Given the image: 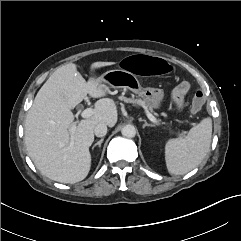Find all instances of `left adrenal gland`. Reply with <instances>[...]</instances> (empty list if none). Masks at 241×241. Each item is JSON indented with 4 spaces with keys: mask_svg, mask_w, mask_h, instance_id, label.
I'll return each instance as SVG.
<instances>
[{
    "mask_svg": "<svg viewBox=\"0 0 241 241\" xmlns=\"http://www.w3.org/2000/svg\"><path fill=\"white\" fill-rule=\"evenodd\" d=\"M139 121H143L144 122V125H143V128H145V127H154V125L153 124H149V123H147V121L145 120V119H139Z\"/></svg>",
    "mask_w": 241,
    "mask_h": 241,
    "instance_id": "1",
    "label": "left adrenal gland"
}]
</instances>
